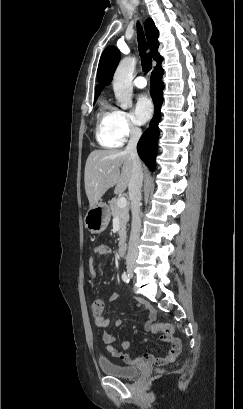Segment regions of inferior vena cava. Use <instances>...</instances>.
<instances>
[{"label":"inferior vena cava","mask_w":243,"mask_h":409,"mask_svg":"<svg viewBox=\"0 0 243 409\" xmlns=\"http://www.w3.org/2000/svg\"><path fill=\"white\" fill-rule=\"evenodd\" d=\"M141 137V129L132 126L130 129V140L127 144L126 151L130 154L132 160V172L128 184L129 196L131 200L132 224L131 234L126 256V264L135 263L138 255V242L141 232L140 219V201L142 198L141 188L143 182V171L141 161L137 153V143Z\"/></svg>","instance_id":"1"}]
</instances>
